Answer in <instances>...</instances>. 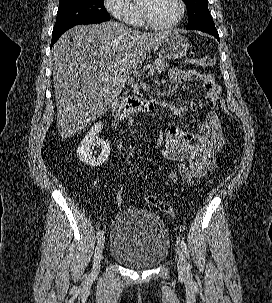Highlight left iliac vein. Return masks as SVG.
I'll list each match as a JSON object with an SVG mask.
<instances>
[{"mask_svg":"<svg viewBox=\"0 0 272 303\" xmlns=\"http://www.w3.org/2000/svg\"><path fill=\"white\" fill-rule=\"evenodd\" d=\"M177 267L180 276H186L188 274V266H187L185 255L179 248H178Z\"/></svg>","mask_w":272,"mask_h":303,"instance_id":"4c4485c4","label":"left iliac vein"}]
</instances>
